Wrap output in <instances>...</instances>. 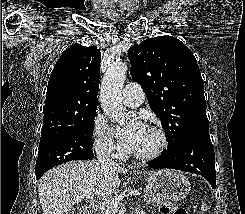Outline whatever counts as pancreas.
<instances>
[{
    "mask_svg": "<svg viewBox=\"0 0 245 214\" xmlns=\"http://www.w3.org/2000/svg\"><path fill=\"white\" fill-rule=\"evenodd\" d=\"M144 200L148 204H152L154 206H159V205H166L168 202L163 199L161 196L155 194L149 187H146L144 190ZM121 193L116 194L112 198H116L120 196ZM98 214H115L113 209L110 206L107 205H101L98 209Z\"/></svg>",
    "mask_w": 245,
    "mask_h": 214,
    "instance_id": "cf45deb5",
    "label": "pancreas"
}]
</instances>
